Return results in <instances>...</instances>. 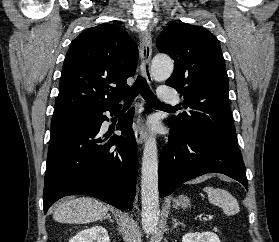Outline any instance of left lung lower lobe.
<instances>
[{
	"label": "left lung lower lobe",
	"mask_w": 279,
	"mask_h": 242,
	"mask_svg": "<svg viewBox=\"0 0 279 242\" xmlns=\"http://www.w3.org/2000/svg\"><path fill=\"white\" fill-rule=\"evenodd\" d=\"M170 136L159 161V193L170 195L184 182L206 173H222L248 190L246 169L237 145L203 136L189 139L171 124Z\"/></svg>",
	"instance_id": "left-lung-lower-lobe-1"
}]
</instances>
